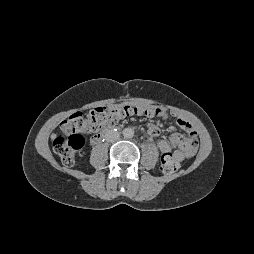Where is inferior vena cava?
Masks as SVG:
<instances>
[{
	"mask_svg": "<svg viewBox=\"0 0 254 254\" xmlns=\"http://www.w3.org/2000/svg\"><path fill=\"white\" fill-rule=\"evenodd\" d=\"M120 134L118 131H114V130H108L105 133V139L107 142H115L119 139Z\"/></svg>",
	"mask_w": 254,
	"mask_h": 254,
	"instance_id": "1",
	"label": "inferior vena cava"
}]
</instances>
